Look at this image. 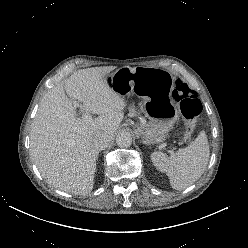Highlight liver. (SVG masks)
<instances>
[{
  "mask_svg": "<svg viewBox=\"0 0 248 248\" xmlns=\"http://www.w3.org/2000/svg\"><path fill=\"white\" fill-rule=\"evenodd\" d=\"M115 66L74 72L43 96L30 129V155L42 177L53 187L76 195L92 191L99 151L92 144L98 134L111 140L126 103L105 81ZM76 108L97 114L86 121Z\"/></svg>",
  "mask_w": 248,
  "mask_h": 248,
  "instance_id": "liver-1",
  "label": "liver"
}]
</instances>
